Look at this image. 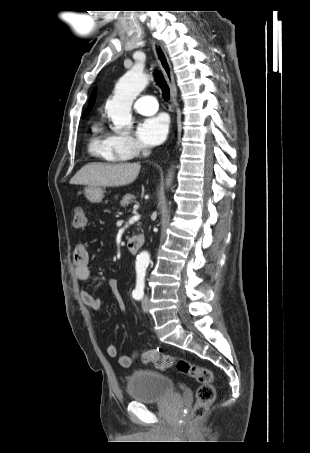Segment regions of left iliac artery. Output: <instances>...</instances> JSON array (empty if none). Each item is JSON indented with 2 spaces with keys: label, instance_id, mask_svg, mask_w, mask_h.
<instances>
[{
  "label": "left iliac artery",
  "instance_id": "left-iliac-artery-1",
  "mask_svg": "<svg viewBox=\"0 0 310 453\" xmlns=\"http://www.w3.org/2000/svg\"><path fill=\"white\" fill-rule=\"evenodd\" d=\"M144 287H145V274L138 273L136 280V288L132 292L133 298H135L136 300H140L144 295Z\"/></svg>",
  "mask_w": 310,
  "mask_h": 453
}]
</instances>
